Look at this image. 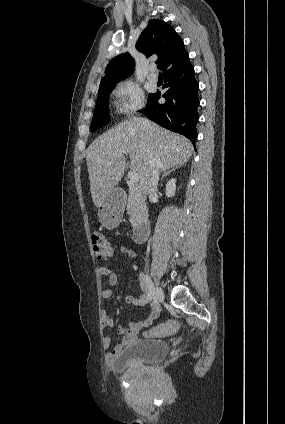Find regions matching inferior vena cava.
Instances as JSON below:
<instances>
[{"mask_svg": "<svg viewBox=\"0 0 285 424\" xmlns=\"http://www.w3.org/2000/svg\"><path fill=\"white\" fill-rule=\"evenodd\" d=\"M149 168H150V179H149L148 193H149V198H152L155 195L158 181H159V160L152 152L149 154Z\"/></svg>", "mask_w": 285, "mask_h": 424, "instance_id": "1", "label": "inferior vena cava"}]
</instances>
